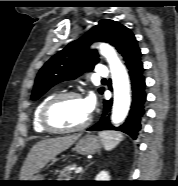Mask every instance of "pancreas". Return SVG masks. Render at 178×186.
<instances>
[{
  "label": "pancreas",
  "mask_w": 178,
  "mask_h": 186,
  "mask_svg": "<svg viewBox=\"0 0 178 186\" xmlns=\"http://www.w3.org/2000/svg\"><path fill=\"white\" fill-rule=\"evenodd\" d=\"M74 166L75 164H72L70 166L65 167L62 171H60L57 181H70L73 178L71 169Z\"/></svg>",
  "instance_id": "pancreas-1"
}]
</instances>
